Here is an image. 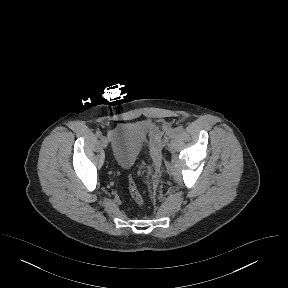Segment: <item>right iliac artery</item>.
Returning a JSON list of instances; mask_svg holds the SVG:
<instances>
[{"instance_id": "1", "label": "right iliac artery", "mask_w": 288, "mask_h": 288, "mask_svg": "<svg viewBox=\"0 0 288 288\" xmlns=\"http://www.w3.org/2000/svg\"><path fill=\"white\" fill-rule=\"evenodd\" d=\"M96 136H97V137H102V132H101V131H97V132H96Z\"/></svg>"}]
</instances>
